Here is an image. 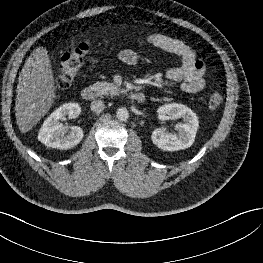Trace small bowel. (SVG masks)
<instances>
[{"instance_id":"1","label":"small bowel","mask_w":263,"mask_h":263,"mask_svg":"<svg viewBox=\"0 0 263 263\" xmlns=\"http://www.w3.org/2000/svg\"><path fill=\"white\" fill-rule=\"evenodd\" d=\"M140 44H150L173 54L179 59L180 65L178 67L171 68L165 72L164 78L166 80L182 81V90L187 93H196L204 88V62L183 39L154 33L144 37ZM119 59L121 62L131 66L137 65L139 62L137 52L132 49L122 50L119 53Z\"/></svg>"}]
</instances>
